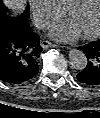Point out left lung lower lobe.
Wrapping results in <instances>:
<instances>
[{"instance_id": "left-lung-lower-lobe-1", "label": "left lung lower lobe", "mask_w": 100, "mask_h": 118, "mask_svg": "<svg viewBox=\"0 0 100 118\" xmlns=\"http://www.w3.org/2000/svg\"><path fill=\"white\" fill-rule=\"evenodd\" d=\"M80 49L86 55L87 65L77 74L78 81L88 86H100V39Z\"/></svg>"}]
</instances>
